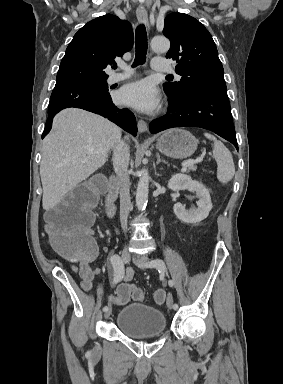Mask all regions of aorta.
<instances>
[{"label":"aorta","instance_id":"1","mask_svg":"<svg viewBox=\"0 0 283 384\" xmlns=\"http://www.w3.org/2000/svg\"><path fill=\"white\" fill-rule=\"evenodd\" d=\"M151 48L154 52L164 53L170 48V41L163 36L154 37L151 40ZM150 176L147 169H142L140 172V178L136 190V206L138 210L145 209L148 202V190H149Z\"/></svg>","mask_w":283,"mask_h":384}]
</instances>
